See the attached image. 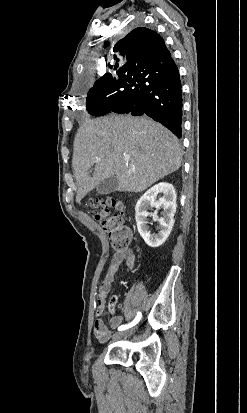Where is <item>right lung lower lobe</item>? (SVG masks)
Returning a JSON list of instances; mask_svg holds the SVG:
<instances>
[{
  "label": "right lung lower lobe",
  "mask_w": 247,
  "mask_h": 413,
  "mask_svg": "<svg viewBox=\"0 0 247 413\" xmlns=\"http://www.w3.org/2000/svg\"><path fill=\"white\" fill-rule=\"evenodd\" d=\"M122 81V91L106 104L100 116L146 114L181 138L182 91L173 59L157 72L130 75Z\"/></svg>",
  "instance_id": "right-lung-lower-lobe-1"
}]
</instances>
